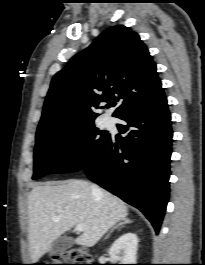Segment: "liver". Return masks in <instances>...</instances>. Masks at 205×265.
<instances>
[{"instance_id":"6515ba94","label":"liver","mask_w":205,"mask_h":265,"mask_svg":"<svg viewBox=\"0 0 205 265\" xmlns=\"http://www.w3.org/2000/svg\"><path fill=\"white\" fill-rule=\"evenodd\" d=\"M127 216L128 208L121 199L101 188L94 192L92 185L84 180L36 186L28 196L31 261L37 262L56 238L79 224L84 231L75 243L92 247Z\"/></svg>"}]
</instances>
